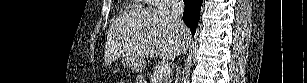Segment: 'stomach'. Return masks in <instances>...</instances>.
<instances>
[{
	"label": "stomach",
	"mask_w": 307,
	"mask_h": 83,
	"mask_svg": "<svg viewBox=\"0 0 307 83\" xmlns=\"http://www.w3.org/2000/svg\"><path fill=\"white\" fill-rule=\"evenodd\" d=\"M122 64L125 67H132L134 70H141L145 67V64L143 62H139L133 58L125 57L122 59Z\"/></svg>",
	"instance_id": "obj_1"
}]
</instances>
